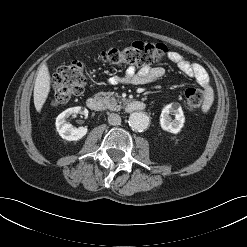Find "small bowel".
<instances>
[{"label":"small bowel","instance_id":"small-bowel-1","mask_svg":"<svg viewBox=\"0 0 247 247\" xmlns=\"http://www.w3.org/2000/svg\"><path fill=\"white\" fill-rule=\"evenodd\" d=\"M168 59L187 77L192 78L201 88L203 93V104L201 111L206 113L212 106L214 91L205 68L198 64L188 61L177 51L168 53ZM165 70L162 67H143L136 69L128 67L124 76H114L108 79L109 85L136 84L142 85L153 82L163 77Z\"/></svg>","mask_w":247,"mask_h":247}]
</instances>
